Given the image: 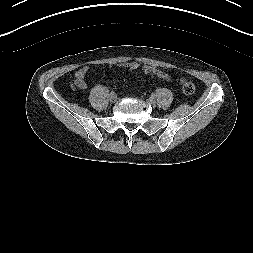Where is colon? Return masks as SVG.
I'll list each match as a JSON object with an SVG mask.
<instances>
[{"mask_svg": "<svg viewBox=\"0 0 253 253\" xmlns=\"http://www.w3.org/2000/svg\"><path fill=\"white\" fill-rule=\"evenodd\" d=\"M180 85L182 87V91L186 94V95H192L195 92V85L187 80V79H180Z\"/></svg>", "mask_w": 253, "mask_h": 253, "instance_id": "5ec220e1", "label": "colon"}]
</instances>
